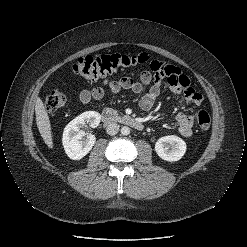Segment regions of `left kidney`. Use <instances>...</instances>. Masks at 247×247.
I'll return each mask as SVG.
<instances>
[{"label": "left kidney", "instance_id": "obj_1", "mask_svg": "<svg viewBox=\"0 0 247 247\" xmlns=\"http://www.w3.org/2000/svg\"><path fill=\"white\" fill-rule=\"evenodd\" d=\"M155 151L165 161H178L186 152V143L175 135L164 136L157 140Z\"/></svg>", "mask_w": 247, "mask_h": 247}]
</instances>
